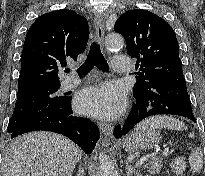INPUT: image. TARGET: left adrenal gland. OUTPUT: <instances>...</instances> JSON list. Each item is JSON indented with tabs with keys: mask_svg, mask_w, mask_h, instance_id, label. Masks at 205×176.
Wrapping results in <instances>:
<instances>
[{
	"mask_svg": "<svg viewBox=\"0 0 205 176\" xmlns=\"http://www.w3.org/2000/svg\"><path fill=\"white\" fill-rule=\"evenodd\" d=\"M125 165H126L125 168H126V175L127 176H133V175L134 176H142L140 171L137 168L131 166V164L129 163L128 160H125Z\"/></svg>",
	"mask_w": 205,
	"mask_h": 176,
	"instance_id": "left-adrenal-gland-1",
	"label": "left adrenal gland"
}]
</instances>
